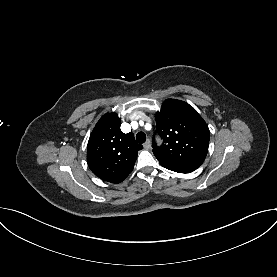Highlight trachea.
Instances as JSON below:
<instances>
[{"label": "trachea", "instance_id": "trachea-1", "mask_svg": "<svg viewBox=\"0 0 277 277\" xmlns=\"http://www.w3.org/2000/svg\"><path fill=\"white\" fill-rule=\"evenodd\" d=\"M136 140L138 143L142 144L146 141V135L144 132H139L137 135H136Z\"/></svg>", "mask_w": 277, "mask_h": 277}]
</instances>
